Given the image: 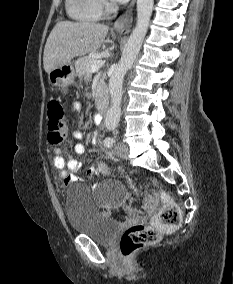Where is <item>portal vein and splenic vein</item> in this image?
<instances>
[{"label":"portal vein and splenic vein","mask_w":233,"mask_h":284,"mask_svg":"<svg viewBox=\"0 0 233 284\" xmlns=\"http://www.w3.org/2000/svg\"><path fill=\"white\" fill-rule=\"evenodd\" d=\"M104 65V61L102 60H93L90 61V66L92 72L98 71Z\"/></svg>","instance_id":"portal-vein-and-splenic-vein-1"}]
</instances>
